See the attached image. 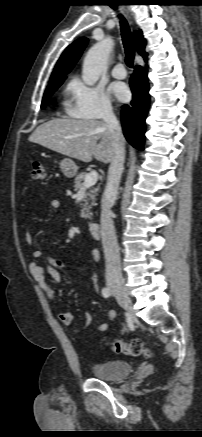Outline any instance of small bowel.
I'll list each match as a JSON object with an SVG mask.
<instances>
[{"mask_svg": "<svg viewBox=\"0 0 202 437\" xmlns=\"http://www.w3.org/2000/svg\"><path fill=\"white\" fill-rule=\"evenodd\" d=\"M49 206L52 209H57L60 207V201L57 198H52L49 201ZM25 240L27 244H33V235L31 231H27L25 234ZM33 261L29 264V273L32 278L38 283V285L48 294L50 298H54V292L52 288L47 284L45 278V272L47 271L52 280L55 283H59L62 280V269L64 268V263L56 258L45 255L41 250L34 249L32 251ZM93 281V289L94 294L98 291V277L96 274H92L91 276ZM60 321L66 325L71 326L74 322V315L70 311H60L59 312ZM107 317L109 320H114L116 318V312L114 310H109L107 312ZM85 326L84 328L89 327L92 324L93 318L89 312L84 314ZM108 329V325L106 323L98 324L96 326V330L99 332H105ZM82 329L75 328V332H80Z\"/></svg>", "mask_w": 202, "mask_h": 437, "instance_id": "small-bowel-1", "label": "small bowel"}]
</instances>
